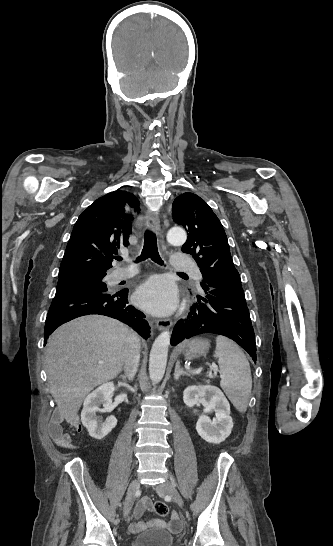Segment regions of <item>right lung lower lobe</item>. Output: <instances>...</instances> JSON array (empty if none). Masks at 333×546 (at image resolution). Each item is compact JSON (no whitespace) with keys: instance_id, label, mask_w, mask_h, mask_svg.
Segmentation results:
<instances>
[{"instance_id":"right-lung-lower-lobe-1","label":"right lung lower lobe","mask_w":333,"mask_h":546,"mask_svg":"<svg viewBox=\"0 0 333 546\" xmlns=\"http://www.w3.org/2000/svg\"><path fill=\"white\" fill-rule=\"evenodd\" d=\"M128 289L114 294L82 291L71 292L54 297L45 321V340L60 325L88 314L105 315L129 325L144 339L150 336V326L145 315L129 305Z\"/></svg>"}]
</instances>
